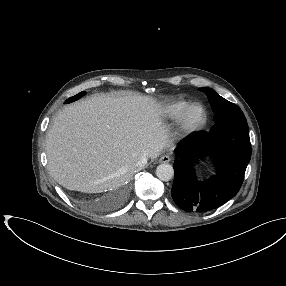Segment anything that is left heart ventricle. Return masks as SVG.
Masks as SVG:
<instances>
[{
  "instance_id": "b2bd125f",
  "label": "left heart ventricle",
  "mask_w": 286,
  "mask_h": 286,
  "mask_svg": "<svg viewBox=\"0 0 286 286\" xmlns=\"http://www.w3.org/2000/svg\"><path fill=\"white\" fill-rule=\"evenodd\" d=\"M202 118V110L200 108H196L191 113V120L193 122H199Z\"/></svg>"
}]
</instances>
